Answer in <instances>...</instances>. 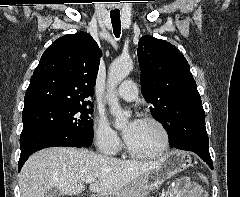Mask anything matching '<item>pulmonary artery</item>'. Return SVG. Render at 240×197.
Here are the masks:
<instances>
[{"mask_svg":"<svg viewBox=\"0 0 240 197\" xmlns=\"http://www.w3.org/2000/svg\"><path fill=\"white\" fill-rule=\"evenodd\" d=\"M124 100L132 101L138 97V87L132 80H125L115 91Z\"/></svg>","mask_w":240,"mask_h":197,"instance_id":"pulmonary-artery-1","label":"pulmonary artery"}]
</instances>
